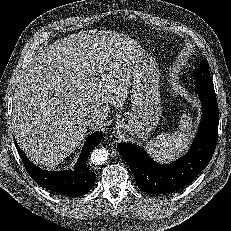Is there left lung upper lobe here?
Listing matches in <instances>:
<instances>
[{
  "instance_id": "5c2ea615",
  "label": "left lung upper lobe",
  "mask_w": 231,
  "mask_h": 231,
  "mask_svg": "<svg viewBox=\"0 0 231 231\" xmlns=\"http://www.w3.org/2000/svg\"><path fill=\"white\" fill-rule=\"evenodd\" d=\"M193 76L196 81L203 83H213L210 77L209 65L206 58L202 61L201 66L194 71Z\"/></svg>"
}]
</instances>
